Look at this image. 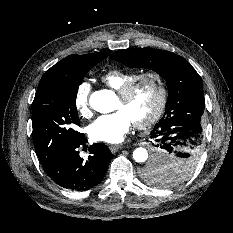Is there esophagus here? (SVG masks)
<instances>
[{"instance_id": "34e87169", "label": "esophagus", "mask_w": 233, "mask_h": 233, "mask_svg": "<svg viewBox=\"0 0 233 233\" xmlns=\"http://www.w3.org/2000/svg\"><path fill=\"white\" fill-rule=\"evenodd\" d=\"M109 148H110V151H111V152L115 153V152H117L119 149L122 148V145H119V144H111V145L109 146Z\"/></svg>"}]
</instances>
